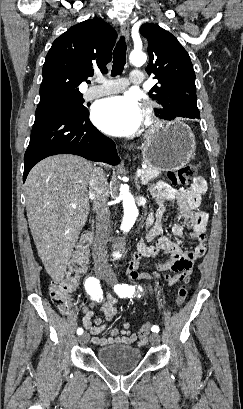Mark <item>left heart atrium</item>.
Masks as SVG:
<instances>
[{"label": "left heart atrium", "mask_w": 243, "mask_h": 409, "mask_svg": "<svg viewBox=\"0 0 243 409\" xmlns=\"http://www.w3.org/2000/svg\"><path fill=\"white\" fill-rule=\"evenodd\" d=\"M92 118L103 132L114 136L135 133L145 121V112L137 96L126 94L99 101Z\"/></svg>", "instance_id": "39dd6f15"}]
</instances>
